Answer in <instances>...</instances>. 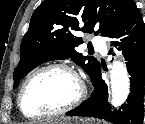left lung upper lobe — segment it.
Segmentation results:
<instances>
[{
	"label": "left lung upper lobe",
	"instance_id": "obj_1",
	"mask_svg": "<svg viewBox=\"0 0 145 124\" xmlns=\"http://www.w3.org/2000/svg\"><path fill=\"white\" fill-rule=\"evenodd\" d=\"M134 5L133 0H44L34 11L23 37L21 59L13 74L14 89L20 78L40 63L67 58L80 65L93 83L100 63L75 50L83 43L75 31L93 33L98 29L95 34L110 38Z\"/></svg>",
	"mask_w": 145,
	"mask_h": 124
}]
</instances>
